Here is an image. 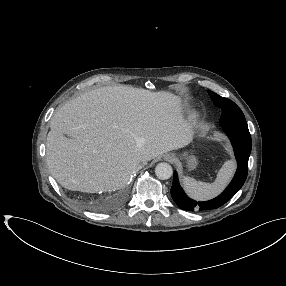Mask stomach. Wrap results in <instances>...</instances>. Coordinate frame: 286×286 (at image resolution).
<instances>
[{
  "instance_id": "obj_1",
  "label": "stomach",
  "mask_w": 286,
  "mask_h": 286,
  "mask_svg": "<svg viewBox=\"0 0 286 286\" xmlns=\"http://www.w3.org/2000/svg\"><path fill=\"white\" fill-rule=\"evenodd\" d=\"M183 157L186 159L187 161V166L190 170L194 169L197 164H198V161H197V158L194 156V155H191V154H188V153H185L183 155Z\"/></svg>"
}]
</instances>
